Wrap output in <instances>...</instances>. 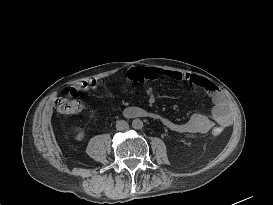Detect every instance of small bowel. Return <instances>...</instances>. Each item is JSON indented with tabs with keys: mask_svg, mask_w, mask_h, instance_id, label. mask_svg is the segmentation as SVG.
Instances as JSON below:
<instances>
[{
	"mask_svg": "<svg viewBox=\"0 0 273 205\" xmlns=\"http://www.w3.org/2000/svg\"><path fill=\"white\" fill-rule=\"evenodd\" d=\"M149 72L147 80H155L159 77H168L174 80H187L194 86L200 87L207 91L209 97L213 102V108L210 116L197 113L191 116L189 120L183 123H176L167 118L158 117L165 127L177 133H192V134H206L215 127H225L231 124L232 117L229 105L219 90V88L205 77L195 74H182L172 70H164L158 68H146ZM76 91V89H74ZM140 108H127L128 115L135 116L138 114Z\"/></svg>",
	"mask_w": 273,
	"mask_h": 205,
	"instance_id": "small-bowel-1",
	"label": "small bowel"
}]
</instances>
